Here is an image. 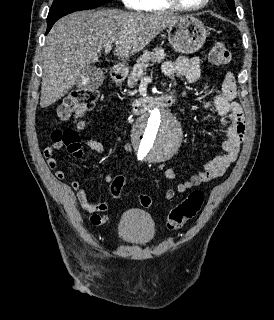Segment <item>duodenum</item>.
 Masks as SVG:
<instances>
[{"label": "duodenum", "mask_w": 274, "mask_h": 320, "mask_svg": "<svg viewBox=\"0 0 274 320\" xmlns=\"http://www.w3.org/2000/svg\"><path fill=\"white\" fill-rule=\"evenodd\" d=\"M111 81L118 84L123 79V74L119 71H113L110 75ZM176 102L174 95H162L158 97H145L137 102L138 111H146L157 107L170 106Z\"/></svg>", "instance_id": "410a0bca"}]
</instances>
